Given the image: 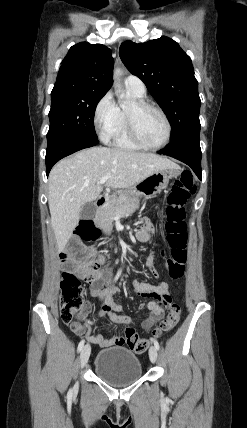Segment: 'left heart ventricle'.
<instances>
[{
	"label": "left heart ventricle",
	"instance_id": "left-heart-ventricle-1",
	"mask_svg": "<svg viewBox=\"0 0 247 428\" xmlns=\"http://www.w3.org/2000/svg\"><path fill=\"white\" fill-rule=\"evenodd\" d=\"M132 109V105L128 110ZM136 130L141 139L151 145L160 144L166 136V125L161 115L153 109L145 108L134 114Z\"/></svg>",
	"mask_w": 247,
	"mask_h": 428
}]
</instances>
